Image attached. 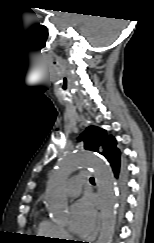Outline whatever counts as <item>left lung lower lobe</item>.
Masks as SVG:
<instances>
[{
  "label": "left lung lower lobe",
  "instance_id": "obj_1",
  "mask_svg": "<svg viewBox=\"0 0 154 243\" xmlns=\"http://www.w3.org/2000/svg\"><path fill=\"white\" fill-rule=\"evenodd\" d=\"M121 160V159H120ZM115 177L118 179V185L122 192L123 198L127 190V170L124 162H121L120 165L117 163L112 167Z\"/></svg>",
  "mask_w": 154,
  "mask_h": 243
}]
</instances>
